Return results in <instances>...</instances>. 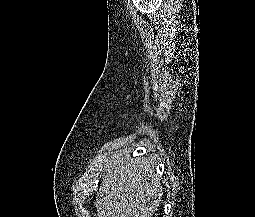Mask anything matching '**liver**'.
<instances>
[{
	"label": "liver",
	"instance_id": "liver-1",
	"mask_svg": "<svg viewBox=\"0 0 255 217\" xmlns=\"http://www.w3.org/2000/svg\"><path fill=\"white\" fill-rule=\"evenodd\" d=\"M163 189L147 158L118 155L106 169L96 197L98 217H151Z\"/></svg>",
	"mask_w": 255,
	"mask_h": 217
}]
</instances>
